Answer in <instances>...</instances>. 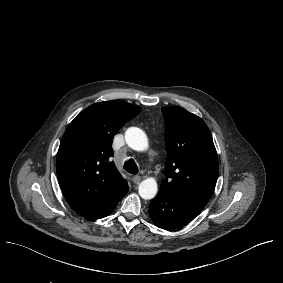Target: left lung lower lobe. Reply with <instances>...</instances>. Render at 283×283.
<instances>
[{
	"mask_svg": "<svg viewBox=\"0 0 283 283\" xmlns=\"http://www.w3.org/2000/svg\"><path fill=\"white\" fill-rule=\"evenodd\" d=\"M204 206L193 199L159 191L150 202L149 215L157 227L173 229L189 223Z\"/></svg>",
	"mask_w": 283,
	"mask_h": 283,
	"instance_id": "0a47b994",
	"label": "left lung lower lobe"
}]
</instances>
